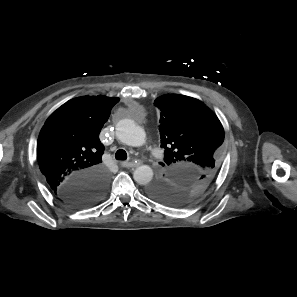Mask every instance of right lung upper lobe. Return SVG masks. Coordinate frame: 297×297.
Returning a JSON list of instances; mask_svg holds the SVG:
<instances>
[{"label":"right lung upper lobe","instance_id":"right-lung-upper-lobe-1","mask_svg":"<svg viewBox=\"0 0 297 297\" xmlns=\"http://www.w3.org/2000/svg\"><path fill=\"white\" fill-rule=\"evenodd\" d=\"M119 98L84 96L59 107L47 119L38 137L37 159L53 192L75 176L106 170L102 166L104 145L99 133Z\"/></svg>","mask_w":297,"mask_h":297}]
</instances>
